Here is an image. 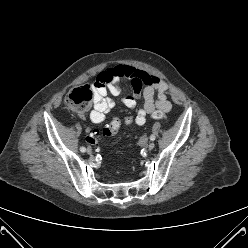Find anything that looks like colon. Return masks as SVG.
<instances>
[{
  "mask_svg": "<svg viewBox=\"0 0 248 248\" xmlns=\"http://www.w3.org/2000/svg\"><path fill=\"white\" fill-rule=\"evenodd\" d=\"M95 95L94 87L90 85H82L73 89L66 98L67 108L75 114H84L90 107L91 101ZM155 119L166 120V115L163 112L155 111L152 114ZM123 124L127 128L134 126L135 121L132 115L127 114L123 118ZM120 128V120L113 119L110 124L104 129L105 136L114 135ZM85 140L89 145H96L99 142V132L96 129H89L85 133Z\"/></svg>",
  "mask_w": 248,
  "mask_h": 248,
  "instance_id": "colon-1",
  "label": "colon"
}]
</instances>
